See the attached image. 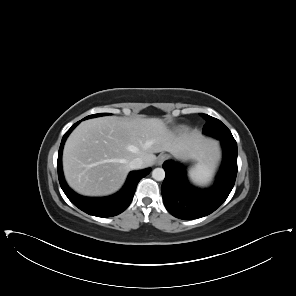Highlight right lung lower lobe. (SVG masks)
<instances>
[{
    "label": "right lung lower lobe",
    "mask_w": 296,
    "mask_h": 296,
    "mask_svg": "<svg viewBox=\"0 0 296 296\" xmlns=\"http://www.w3.org/2000/svg\"><path fill=\"white\" fill-rule=\"evenodd\" d=\"M80 123H75L63 136L59 153H58V161H57V170H58V178L61 185L62 190L68 197V199L80 210L84 211L89 215H94L97 217H111L120 214L123 212L131 203L138 182L148 175L151 171L150 168L141 170V171H133L129 174L128 179L124 185V187L115 195L103 198H89L83 197L75 192H73L68 185L66 184L63 172H62V164H61V156L64 142L69 135V133Z\"/></svg>",
    "instance_id": "98d812e1"
}]
</instances>
